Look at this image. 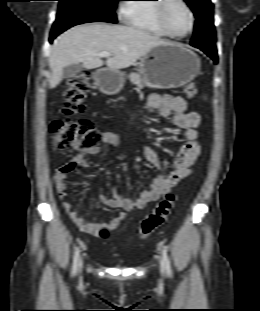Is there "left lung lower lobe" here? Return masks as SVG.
I'll return each instance as SVG.
<instances>
[{
    "label": "left lung lower lobe",
    "instance_id": "1",
    "mask_svg": "<svg viewBox=\"0 0 260 311\" xmlns=\"http://www.w3.org/2000/svg\"><path fill=\"white\" fill-rule=\"evenodd\" d=\"M194 47L199 48L200 50L205 52L209 57H211L214 60L215 63L218 62L216 48H208L202 45H196Z\"/></svg>",
    "mask_w": 260,
    "mask_h": 311
}]
</instances>
